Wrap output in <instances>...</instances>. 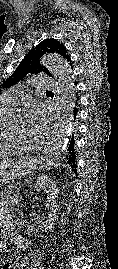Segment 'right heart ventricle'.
I'll return each mask as SVG.
<instances>
[{
  "instance_id": "right-heart-ventricle-1",
  "label": "right heart ventricle",
  "mask_w": 118,
  "mask_h": 269,
  "mask_svg": "<svg viewBox=\"0 0 118 269\" xmlns=\"http://www.w3.org/2000/svg\"><path fill=\"white\" fill-rule=\"evenodd\" d=\"M11 115L12 111L0 107V156L17 154L22 150L20 142L5 127Z\"/></svg>"
}]
</instances>
